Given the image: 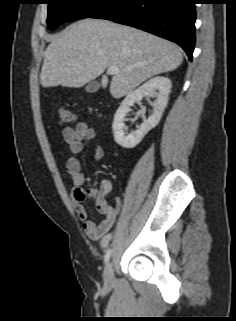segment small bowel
<instances>
[{"mask_svg":"<svg viewBox=\"0 0 236 321\" xmlns=\"http://www.w3.org/2000/svg\"><path fill=\"white\" fill-rule=\"evenodd\" d=\"M62 135L66 143L68 144L69 156L64 162V166L71 183V201L72 205L78 214L79 218L83 222V230L86 235L93 239H101V244L106 246L109 238L107 233L113 227L118 210L107 202V196L112 191V183L108 179L100 181L98 189H91L90 195L95 198V207L97 211L104 216L102 220L88 219V211L84 205V199L81 198L80 191L83 190L82 186L85 183V175L81 170L80 162L77 155L83 150L86 142L97 139V130L90 127L88 123L82 121L75 127H65L62 131ZM105 154V150L101 144H98L94 153V159L100 161Z\"/></svg>","mask_w":236,"mask_h":321,"instance_id":"1","label":"small bowel"}]
</instances>
